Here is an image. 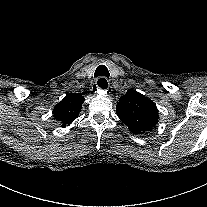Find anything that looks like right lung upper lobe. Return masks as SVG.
I'll list each match as a JSON object with an SVG mask.
<instances>
[{"mask_svg":"<svg viewBox=\"0 0 207 207\" xmlns=\"http://www.w3.org/2000/svg\"><path fill=\"white\" fill-rule=\"evenodd\" d=\"M84 101L81 95H67L54 107V118L60 121L63 127L70 125L78 117Z\"/></svg>","mask_w":207,"mask_h":207,"instance_id":"obj_1","label":"right lung upper lobe"}]
</instances>
